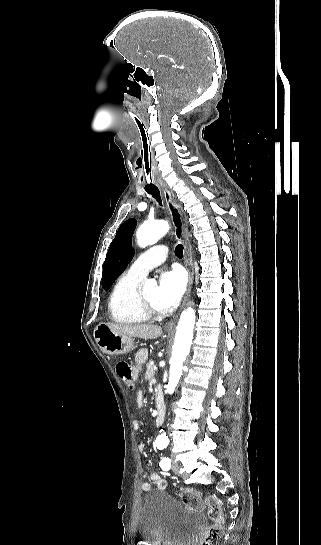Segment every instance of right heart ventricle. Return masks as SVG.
Masks as SVG:
<instances>
[{
    "label": "right heart ventricle",
    "instance_id": "obj_1",
    "mask_svg": "<svg viewBox=\"0 0 321 545\" xmlns=\"http://www.w3.org/2000/svg\"><path fill=\"white\" fill-rule=\"evenodd\" d=\"M141 280L129 272L121 273L116 279L107 304L110 319L114 323L135 325L150 320L135 305L134 293Z\"/></svg>",
    "mask_w": 321,
    "mask_h": 545
}]
</instances>
